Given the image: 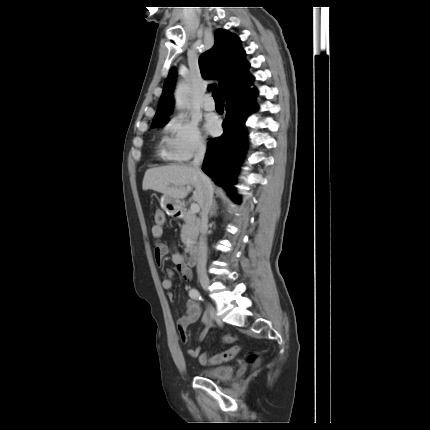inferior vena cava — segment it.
Returning <instances> with one entry per match:
<instances>
[{
	"mask_svg": "<svg viewBox=\"0 0 430 430\" xmlns=\"http://www.w3.org/2000/svg\"><path fill=\"white\" fill-rule=\"evenodd\" d=\"M205 147H201L196 153L193 160L195 169L198 170L200 179L203 186V196L201 200V222H200V238L198 242V255H197V273L200 277H206V263H207V243L206 233L208 230V213L213 204V186L212 183L204 173L200 170V165L203 162L205 156Z\"/></svg>",
	"mask_w": 430,
	"mask_h": 430,
	"instance_id": "obj_1",
	"label": "inferior vena cava"
}]
</instances>
